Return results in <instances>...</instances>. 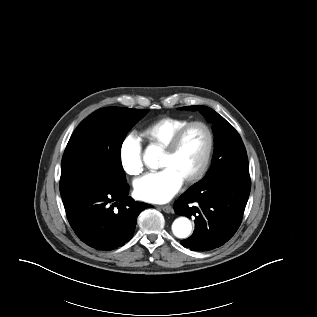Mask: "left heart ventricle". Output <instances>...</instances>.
<instances>
[{
  "label": "left heart ventricle",
  "instance_id": "b2bd125f",
  "mask_svg": "<svg viewBox=\"0 0 317 317\" xmlns=\"http://www.w3.org/2000/svg\"><path fill=\"white\" fill-rule=\"evenodd\" d=\"M208 145L206 131L194 126L185 134L178 151L174 155L163 153L160 167L172 168L183 179L192 176L200 167Z\"/></svg>",
  "mask_w": 317,
  "mask_h": 317
}]
</instances>
